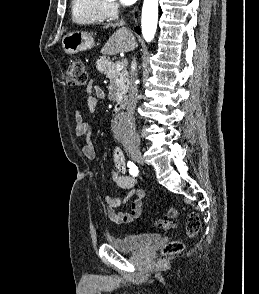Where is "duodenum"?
Here are the masks:
<instances>
[{
  "label": "duodenum",
  "instance_id": "duodenum-1",
  "mask_svg": "<svg viewBox=\"0 0 259 294\" xmlns=\"http://www.w3.org/2000/svg\"><path fill=\"white\" fill-rule=\"evenodd\" d=\"M124 108V104L122 102L118 103L114 110V115H116L118 112H120Z\"/></svg>",
  "mask_w": 259,
  "mask_h": 294
}]
</instances>
